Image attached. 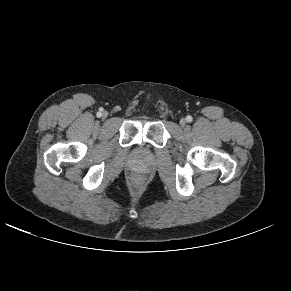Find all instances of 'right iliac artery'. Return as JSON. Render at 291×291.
I'll list each match as a JSON object with an SVG mask.
<instances>
[{"mask_svg":"<svg viewBox=\"0 0 291 291\" xmlns=\"http://www.w3.org/2000/svg\"><path fill=\"white\" fill-rule=\"evenodd\" d=\"M101 115H102L101 112H98V113H97V116H101Z\"/></svg>","mask_w":291,"mask_h":291,"instance_id":"right-iliac-artery-1","label":"right iliac artery"}]
</instances>
